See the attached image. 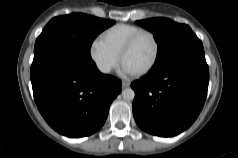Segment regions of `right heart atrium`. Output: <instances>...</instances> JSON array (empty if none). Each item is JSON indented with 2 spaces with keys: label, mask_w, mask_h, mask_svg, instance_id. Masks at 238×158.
I'll return each instance as SVG.
<instances>
[{
  "label": "right heart atrium",
  "mask_w": 238,
  "mask_h": 158,
  "mask_svg": "<svg viewBox=\"0 0 238 158\" xmlns=\"http://www.w3.org/2000/svg\"><path fill=\"white\" fill-rule=\"evenodd\" d=\"M90 56L96 67L105 74L110 73L119 63V54L101 38H96L91 43Z\"/></svg>",
  "instance_id": "1"
}]
</instances>
